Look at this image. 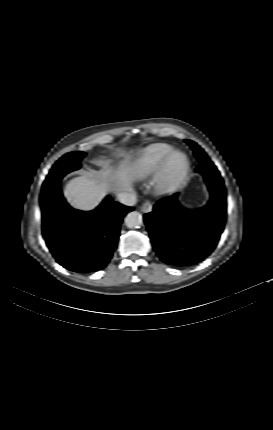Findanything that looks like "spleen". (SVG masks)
<instances>
[{
	"instance_id": "3e777b00",
	"label": "spleen",
	"mask_w": 273,
	"mask_h": 430,
	"mask_svg": "<svg viewBox=\"0 0 273 430\" xmlns=\"http://www.w3.org/2000/svg\"><path fill=\"white\" fill-rule=\"evenodd\" d=\"M193 207L191 205L186 206V210H192Z\"/></svg>"
}]
</instances>
